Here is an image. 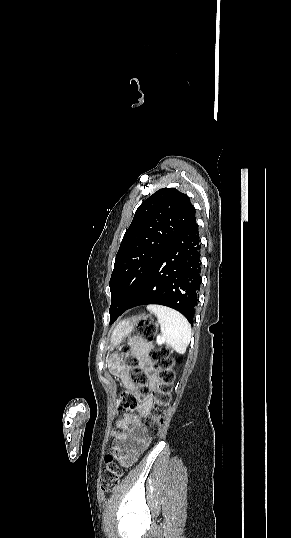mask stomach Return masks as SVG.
<instances>
[{
  "instance_id": "0dacf381",
  "label": "stomach",
  "mask_w": 291,
  "mask_h": 538,
  "mask_svg": "<svg viewBox=\"0 0 291 538\" xmlns=\"http://www.w3.org/2000/svg\"><path fill=\"white\" fill-rule=\"evenodd\" d=\"M141 318L142 317H139V318H134L133 317L131 319H125V320H122L121 322H119L115 326V328L112 330V335H111V340H110L111 348L116 347L126 337H128L131 334V332H132V330L134 328L136 320L141 319ZM108 365H109V362H108Z\"/></svg>"
}]
</instances>
